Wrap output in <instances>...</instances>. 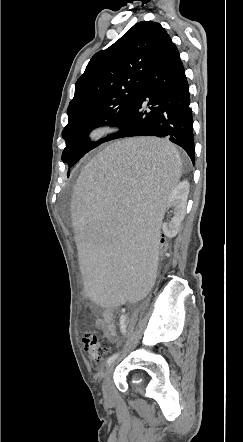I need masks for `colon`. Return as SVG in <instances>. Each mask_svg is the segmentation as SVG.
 Returning a JSON list of instances; mask_svg holds the SVG:
<instances>
[{
	"label": "colon",
	"mask_w": 243,
	"mask_h": 442,
	"mask_svg": "<svg viewBox=\"0 0 243 442\" xmlns=\"http://www.w3.org/2000/svg\"><path fill=\"white\" fill-rule=\"evenodd\" d=\"M159 241L160 251H158L157 256L158 258L163 259L165 258L167 252V233H160ZM83 345L89 357L95 362H100L108 353L107 347L101 343L98 333L94 330H89L86 332L83 338Z\"/></svg>",
	"instance_id": "obj_1"
}]
</instances>
